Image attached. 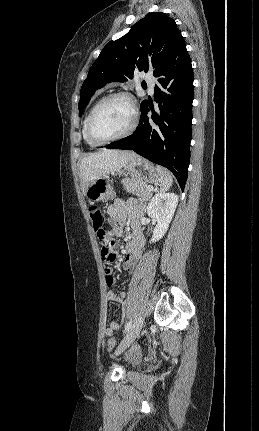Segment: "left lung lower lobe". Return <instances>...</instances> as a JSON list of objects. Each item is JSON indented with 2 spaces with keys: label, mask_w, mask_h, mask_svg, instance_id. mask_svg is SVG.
I'll use <instances>...</instances> for the list:
<instances>
[{
  "label": "left lung lower lobe",
  "mask_w": 259,
  "mask_h": 431,
  "mask_svg": "<svg viewBox=\"0 0 259 431\" xmlns=\"http://www.w3.org/2000/svg\"><path fill=\"white\" fill-rule=\"evenodd\" d=\"M158 78L154 99L158 109L144 100L136 131L106 148L133 150L168 168L184 190L190 163L192 102L194 98L191 59L182 39L154 75ZM152 110L149 119L147 113Z\"/></svg>",
  "instance_id": "1"
}]
</instances>
